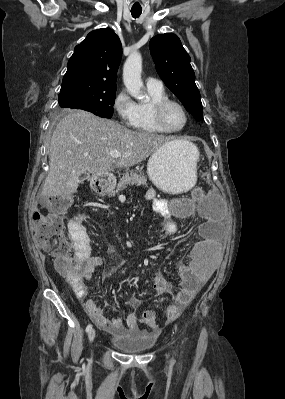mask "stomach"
<instances>
[{
    "instance_id": "0dacf381",
    "label": "stomach",
    "mask_w": 285,
    "mask_h": 399,
    "mask_svg": "<svg viewBox=\"0 0 285 399\" xmlns=\"http://www.w3.org/2000/svg\"><path fill=\"white\" fill-rule=\"evenodd\" d=\"M198 158L199 151L193 143L171 141L152 153L147 163V174L162 191L183 193L196 183Z\"/></svg>"
}]
</instances>
